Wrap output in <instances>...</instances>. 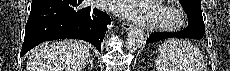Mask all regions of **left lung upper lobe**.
I'll return each instance as SVG.
<instances>
[{
  "instance_id": "left-lung-upper-lobe-1",
  "label": "left lung upper lobe",
  "mask_w": 230,
  "mask_h": 71,
  "mask_svg": "<svg viewBox=\"0 0 230 71\" xmlns=\"http://www.w3.org/2000/svg\"><path fill=\"white\" fill-rule=\"evenodd\" d=\"M183 8L193 6L201 9V0H179Z\"/></svg>"
}]
</instances>
